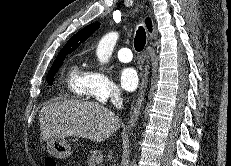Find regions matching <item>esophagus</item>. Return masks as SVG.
Listing matches in <instances>:
<instances>
[{"mask_svg": "<svg viewBox=\"0 0 231 166\" xmlns=\"http://www.w3.org/2000/svg\"><path fill=\"white\" fill-rule=\"evenodd\" d=\"M145 59H146L145 71H144L142 79H141L140 88H139V92L137 94L136 103L132 109L126 130H130L135 125V122L138 119V116H139L141 108H142V103H143V99L145 96V91H146V88L148 85V73H149V71H148L149 70L148 51L145 52Z\"/></svg>", "mask_w": 231, "mask_h": 166, "instance_id": "34e87169", "label": "esophagus"}]
</instances>
